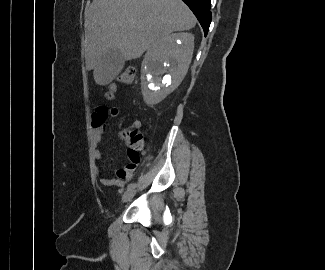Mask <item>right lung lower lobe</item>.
Segmentation results:
<instances>
[{"instance_id":"1","label":"right lung lower lobe","mask_w":325,"mask_h":270,"mask_svg":"<svg viewBox=\"0 0 325 270\" xmlns=\"http://www.w3.org/2000/svg\"><path fill=\"white\" fill-rule=\"evenodd\" d=\"M188 5L200 22L205 35L208 33L211 23V0H182Z\"/></svg>"}]
</instances>
